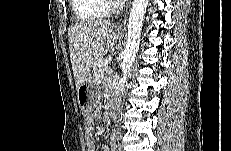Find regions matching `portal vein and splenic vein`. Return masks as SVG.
I'll return each instance as SVG.
<instances>
[{
    "mask_svg": "<svg viewBox=\"0 0 231 151\" xmlns=\"http://www.w3.org/2000/svg\"><path fill=\"white\" fill-rule=\"evenodd\" d=\"M111 60H112L111 57L106 58V59L102 62V64H103L104 66H106V65H108V64L110 63Z\"/></svg>",
    "mask_w": 231,
    "mask_h": 151,
    "instance_id": "1",
    "label": "portal vein and splenic vein"
}]
</instances>
